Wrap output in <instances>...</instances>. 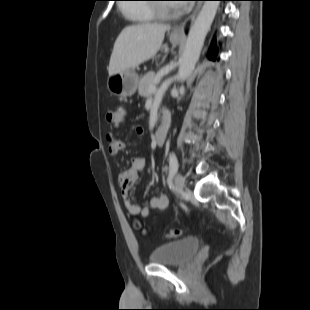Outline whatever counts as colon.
Masks as SVG:
<instances>
[{"instance_id": "obj_1", "label": "colon", "mask_w": 310, "mask_h": 310, "mask_svg": "<svg viewBox=\"0 0 310 310\" xmlns=\"http://www.w3.org/2000/svg\"><path fill=\"white\" fill-rule=\"evenodd\" d=\"M126 118V108L123 105H118L106 111L105 119L107 123L116 128H121L124 125ZM182 235L179 229H172L165 233L167 238H178Z\"/></svg>"}]
</instances>
